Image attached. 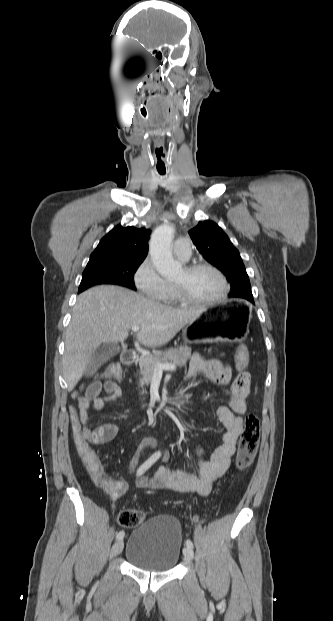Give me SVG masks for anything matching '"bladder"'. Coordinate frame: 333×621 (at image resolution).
Returning a JSON list of instances; mask_svg holds the SVG:
<instances>
[{"label":"bladder","mask_w":333,"mask_h":621,"mask_svg":"<svg viewBox=\"0 0 333 621\" xmlns=\"http://www.w3.org/2000/svg\"><path fill=\"white\" fill-rule=\"evenodd\" d=\"M180 522L170 515H156L134 527L128 537L126 559L148 572H167L177 564L182 550Z\"/></svg>","instance_id":"obj_1"}]
</instances>
